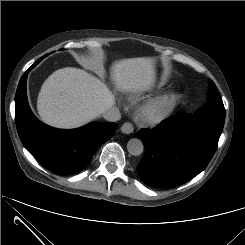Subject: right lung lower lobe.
<instances>
[{
    "label": "right lung lower lobe",
    "instance_id": "1",
    "mask_svg": "<svg viewBox=\"0 0 245 245\" xmlns=\"http://www.w3.org/2000/svg\"><path fill=\"white\" fill-rule=\"evenodd\" d=\"M30 69L22 76L15 96L19 137L46 169L59 175L79 173L89 164L98 147L113 136L117 125L92 122L70 130L45 125L34 116L27 101L26 81Z\"/></svg>",
    "mask_w": 245,
    "mask_h": 245
}]
</instances>
